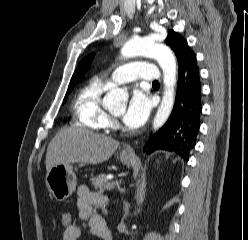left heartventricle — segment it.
<instances>
[{"mask_svg":"<svg viewBox=\"0 0 248 240\" xmlns=\"http://www.w3.org/2000/svg\"><path fill=\"white\" fill-rule=\"evenodd\" d=\"M121 114H122V111L115 113V115H121Z\"/></svg>","mask_w":248,"mask_h":240,"instance_id":"1","label":"left heart ventricle"}]
</instances>
